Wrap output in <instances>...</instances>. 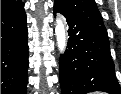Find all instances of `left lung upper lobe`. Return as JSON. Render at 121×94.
I'll use <instances>...</instances> for the list:
<instances>
[{
  "label": "left lung upper lobe",
  "instance_id": "1",
  "mask_svg": "<svg viewBox=\"0 0 121 94\" xmlns=\"http://www.w3.org/2000/svg\"><path fill=\"white\" fill-rule=\"evenodd\" d=\"M68 14L102 25L103 20L94 0H55Z\"/></svg>",
  "mask_w": 121,
  "mask_h": 94
}]
</instances>
